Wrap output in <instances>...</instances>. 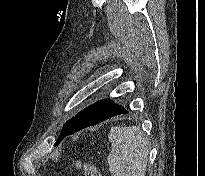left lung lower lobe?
<instances>
[{
    "label": "left lung lower lobe",
    "instance_id": "obj_1",
    "mask_svg": "<svg viewBox=\"0 0 205 176\" xmlns=\"http://www.w3.org/2000/svg\"><path fill=\"white\" fill-rule=\"evenodd\" d=\"M126 113H128V111L124 110L122 106L115 104L114 101L110 99L97 101L73 117L70 125L63 134L62 139L65 136L74 134L86 127L96 125L111 117Z\"/></svg>",
    "mask_w": 205,
    "mask_h": 176
}]
</instances>
